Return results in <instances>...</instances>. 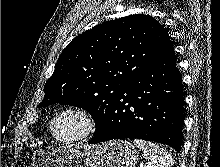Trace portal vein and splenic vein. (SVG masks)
Here are the masks:
<instances>
[{"mask_svg": "<svg viewBox=\"0 0 220 167\" xmlns=\"http://www.w3.org/2000/svg\"><path fill=\"white\" fill-rule=\"evenodd\" d=\"M140 167H145V165H141Z\"/></svg>", "mask_w": 220, "mask_h": 167, "instance_id": "18ae733b", "label": "portal vein and splenic vein"}]
</instances>
